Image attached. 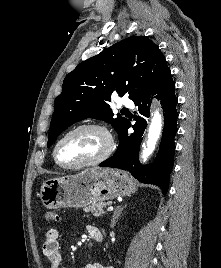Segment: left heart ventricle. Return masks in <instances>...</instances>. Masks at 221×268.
<instances>
[{
    "instance_id": "b2bd125f",
    "label": "left heart ventricle",
    "mask_w": 221,
    "mask_h": 268,
    "mask_svg": "<svg viewBox=\"0 0 221 268\" xmlns=\"http://www.w3.org/2000/svg\"><path fill=\"white\" fill-rule=\"evenodd\" d=\"M107 146L104 134L94 129H83L69 135L58 149L59 160L67 165L90 161L103 153Z\"/></svg>"
}]
</instances>
